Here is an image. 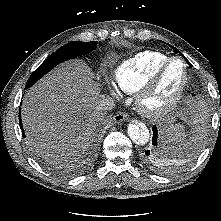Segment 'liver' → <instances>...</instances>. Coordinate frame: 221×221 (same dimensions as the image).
Segmentation results:
<instances>
[{
  "label": "liver",
  "mask_w": 221,
  "mask_h": 221,
  "mask_svg": "<svg viewBox=\"0 0 221 221\" xmlns=\"http://www.w3.org/2000/svg\"><path fill=\"white\" fill-rule=\"evenodd\" d=\"M101 98L85 63L57 67L24 96L21 114L28 143L47 159L77 161L101 118Z\"/></svg>",
  "instance_id": "obj_1"
}]
</instances>
